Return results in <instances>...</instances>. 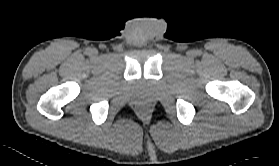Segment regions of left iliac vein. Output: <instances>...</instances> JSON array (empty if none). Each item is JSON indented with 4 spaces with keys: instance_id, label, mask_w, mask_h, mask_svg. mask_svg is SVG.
<instances>
[{
    "instance_id": "left-iliac-vein-1",
    "label": "left iliac vein",
    "mask_w": 279,
    "mask_h": 166,
    "mask_svg": "<svg viewBox=\"0 0 279 166\" xmlns=\"http://www.w3.org/2000/svg\"><path fill=\"white\" fill-rule=\"evenodd\" d=\"M187 56L188 57H192L193 56V52L192 51L187 52Z\"/></svg>"
}]
</instances>
